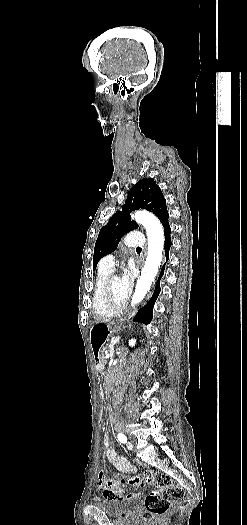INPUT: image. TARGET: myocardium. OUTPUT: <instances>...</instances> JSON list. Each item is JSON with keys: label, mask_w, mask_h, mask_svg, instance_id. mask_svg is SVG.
<instances>
[{"label": "myocardium", "mask_w": 247, "mask_h": 525, "mask_svg": "<svg viewBox=\"0 0 247 525\" xmlns=\"http://www.w3.org/2000/svg\"><path fill=\"white\" fill-rule=\"evenodd\" d=\"M123 263L120 264V267H123ZM114 279V276H110L108 277L105 282L103 283V285L100 287L99 289V294H100V297L102 299V303L105 307H108V301L109 299L111 298V292H110V286H111V283ZM118 304L120 305H125L126 304V301L125 300H118L117 301Z\"/></svg>", "instance_id": "obj_1"}]
</instances>
